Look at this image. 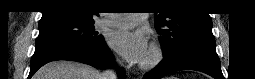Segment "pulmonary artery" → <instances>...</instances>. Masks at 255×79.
Wrapping results in <instances>:
<instances>
[{
	"instance_id": "obj_1",
	"label": "pulmonary artery",
	"mask_w": 255,
	"mask_h": 79,
	"mask_svg": "<svg viewBox=\"0 0 255 79\" xmlns=\"http://www.w3.org/2000/svg\"><path fill=\"white\" fill-rule=\"evenodd\" d=\"M149 13L142 14H113L109 18L103 19L102 24L105 26H128L137 22L145 21Z\"/></svg>"
}]
</instances>
